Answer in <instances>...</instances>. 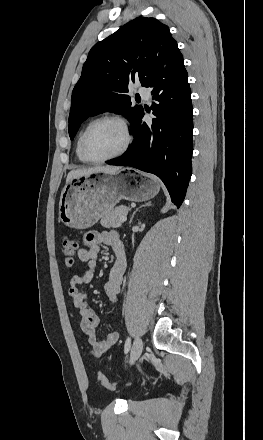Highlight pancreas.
<instances>
[{"label": "pancreas", "mask_w": 263, "mask_h": 440, "mask_svg": "<svg viewBox=\"0 0 263 440\" xmlns=\"http://www.w3.org/2000/svg\"><path fill=\"white\" fill-rule=\"evenodd\" d=\"M128 208L126 206H119L109 211L101 219V225L106 228H118L122 226L123 221L120 219L122 215H127Z\"/></svg>", "instance_id": "obj_1"}]
</instances>
